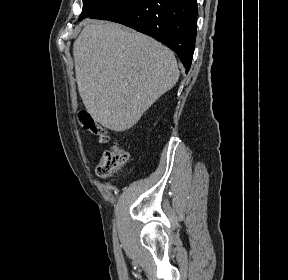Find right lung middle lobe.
I'll list each match as a JSON object with an SVG mask.
<instances>
[{
	"label": "right lung middle lobe",
	"instance_id": "dd1d6c3e",
	"mask_svg": "<svg viewBox=\"0 0 288 280\" xmlns=\"http://www.w3.org/2000/svg\"><path fill=\"white\" fill-rule=\"evenodd\" d=\"M110 1L112 0H83V9L79 17V20L89 17L97 9H99L101 6L105 5Z\"/></svg>",
	"mask_w": 288,
	"mask_h": 280
}]
</instances>
